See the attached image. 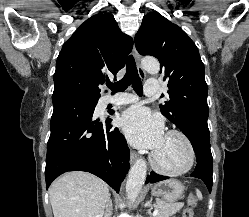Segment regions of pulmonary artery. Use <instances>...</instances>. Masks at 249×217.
I'll return each instance as SVG.
<instances>
[{
  "label": "pulmonary artery",
  "mask_w": 249,
  "mask_h": 217,
  "mask_svg": "<svg viewBox=\"0 0 249 217\" xmlns=\"http://www.w3.org/2000/svg\"><path fill=\"white\" fill-rule=\"evenodd\" d=\"M144 91L148 97H157L160 94L159 82L154 80H148L145 83ZM137 100V97L132 94H121L110 100L114 105L130 104Z\"/></svg>",
  "instance_id": "obj_1"
}]
</instances>
